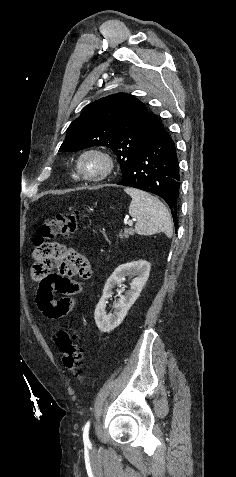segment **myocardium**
I'll return each mask as SVG.
<instances>
[{"label": "myocardium", "mask_w": 236, "mask_h": 477, "mask_svg": "<svg viewBox=\"0 0 236 477\" xmlns=\"http://www.w3.org/2000/svg\"><path fill=\"white\" fill-rule=\"evenodd\" d=\"M97 156L99 157L100 159L103 160L104 162V168L103 170L98 173V174H95V175H87L83 172L82 170V161L87 157V156ZM114 169V161L112 159V157L100 150V149H96V148H91V149H87L85 150L84 152H82L77 161H76V173H77V176L85 181H89V182H98V181H101L105 178H107L113 171Z\"/></svg>", "instance_id": "f54148a6"}]
</instances>
